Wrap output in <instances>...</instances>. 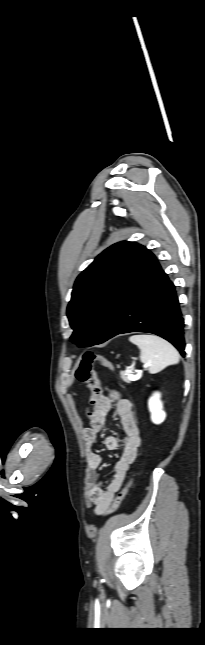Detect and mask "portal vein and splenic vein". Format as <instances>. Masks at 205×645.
Listing matches in <instances>:
<instances>
[{"label":"portal vein and splenic vein","mask_w":205,"mask_h":645,"mask_svg":"<svg viewBox=\"0 0 205 645\" xmlns=\"http://www.w3.org/2000/svg\"><path fill=\"white\" fill-rule=\"evenodd\" d=\"M147 367H148V365H144V368H147ZM140 373H141V372H138V374H137V375H131V374H130V375H129V377H130L132 380H136V379H137V377L140 375Z\"/></svg>","instance_id":"portal-vein-and-splenic-vein-1"}]
</instances>
